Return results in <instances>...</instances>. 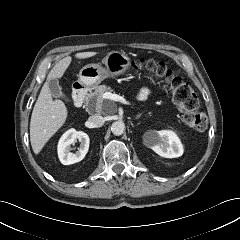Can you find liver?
Segmentation results:
<instances>
[{"label":"liver","instance_id":"obj_1","mask_svg":"<svg viewBox=\"0 0 240 240\" xmlns=\"http://www.w3.org/2000/svg\"><path fill=\"white\" fill-rule=\"evenodd\" d=\"M97 52L75 54L78 59L95 56ZM72 61L71 56L61 59L51 69L38 99L34 105L30 121V141L35 154H39L48 140L63 126L68 111L60 100H53L48 83L51 79L61 78Z\"/></svg>","mask_w":240,"mask_h":240}]
</instances>
